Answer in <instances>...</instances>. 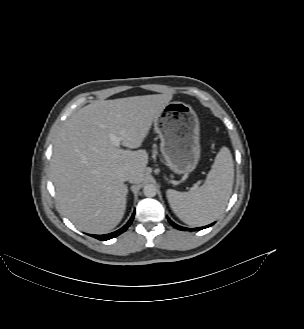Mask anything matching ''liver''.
I'll return each instance as SVG.
<instances>
[{"label": "liver", "instance_id": "liver-1", "mask_svg": "<svg viewBox=\"0 0 304 329\" xmlns=\"http://www.w3.org/2000/svg\"><path fill=\"white\" fill-rule=\"evenodd\" d=\"M172 94L98 100L74 113L58 131L51 158V177L60 209L80 230L105 234L122 220L127 186L143 181L148 154L139 149L152 123ZM121 137L123 150L110 135Z\"/></svg>", "mask_w": 304, "mask_h": 329}]
</instances>
